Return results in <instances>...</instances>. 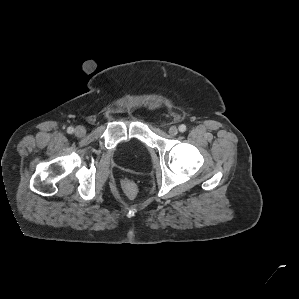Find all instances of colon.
Segmentation results:
<instances>
[{"label":"colon","instance_id":"obj_1","mask_svg":"<svg viewBox=\"0 0 299 299\" xmlns=\"http://www.w3.org/2000/svg\"><path fill=\"white\" fill-rule=\"evenodd\" d=\"M121 187L124 191V193L129 197V198H134L137 194V186L135 182L130 179V178H125L121 182Z\"/></svg>","mask_w":299,"mask_h":299}]
</instances>
